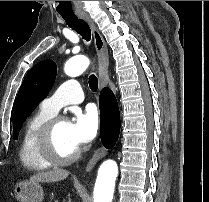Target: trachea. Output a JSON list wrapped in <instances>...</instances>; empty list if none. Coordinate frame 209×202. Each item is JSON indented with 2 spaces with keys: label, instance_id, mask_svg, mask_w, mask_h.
Here are the masks:
<instances>
[{
  "label": "trachea",
  "instance_id": "1",
  "mask_svg": "<svg viewBox=\"0 0 209 202\" xmlns=\"http://www.w3.org/2000/svg\"><path fill=\"white\" fill-rule=\"evenodd\" d=\"M61 16L70 28L80 34L87 42L90 41L91 29L85 20L78 18L75 14ZM89 87L93 92H96L98 89V79L95 74L89 76Z\"/></svg>",
  "mask_w": 209,
  "mask_h": 202
}]
</instances>
